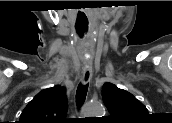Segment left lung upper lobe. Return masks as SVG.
<instances>
[{
    "label": "left lung upper lobe",
    "mask_w": 172,
    "mask_h": 123,
    "mask_svg": "<svg viewBox=\"0 0 172 123\" xmlns=\"http://www.w3.org/2000/svg\"><path fill=\"white\" fill-rule=\"evenodd\" d=\"M102 98L114 122H135L148 115L147 108L131 93L118 88L112 83H105L102 87Z\"/></svg>",
    "instance_id": "obj_1"
}]
</instances>
